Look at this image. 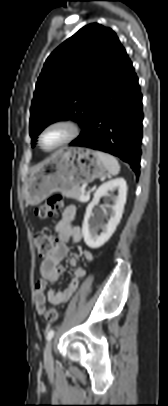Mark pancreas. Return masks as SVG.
<instances>
[{"instance_id":"pancreas-1","label":"pancreas","mask_w":168,"mask_h":406,"mask_svg":"<svg viewBox=\"0 0 168 406\" xmlns=\"http://www.w3.org/2000/svg\"><path fill=\"white\" fill-rule=\"evenodd\" d=\"M62 194L68 198H72V199H75L80 202H87V201H82L81 196L83 195V193L80 188H76V189L69 190V191H63Z\"/></svg>"}]
</instances>
